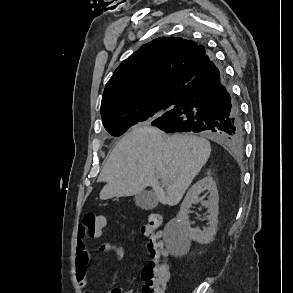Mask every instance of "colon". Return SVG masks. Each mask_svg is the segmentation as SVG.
<instances>
[{
	"label": "colon",
	"mask_w": 293,
	"mask_h": 293,
	"mask_svg": "<svg viewBox=\"0 0 293 293\" xmlns=\"http://www.w3.org/2000/svg\"><path fill=\"white\" fill-rule=\"evenodd\" d=\"M161 224V216L152 213L148 217V223L142 227V234L149 239L148 252L150 260L143 267L141 277L143 280L142 293H165L170 277L169 267L164 261L166 251L158 241V227ZM106 226V217L101 214L87 212L83 215L81 228L86 237L98 239Z\"/></svg>",
	"instance_id": "colon-1"
}]
</instances>
